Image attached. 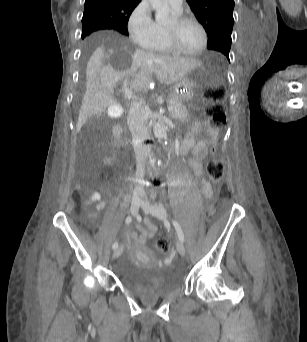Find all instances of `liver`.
<instances>
[{
    "instance_id": "liver-1",
    "label": "liver",
    "mask_w": 307,
    "mask_h": 342,
    "mask_svg": "<svg viewBox=\"0 0 307 342\" xmlns=\"http://www.w3.org/2000/svg\"><path fill=\"white\" fill-rule=\"evenodd\" d=\"M199 66L201 62L194 58L158 56L137 50L136 44H122L121 40L96 44L86 68V92L79 110L76 132H80L90 116H102L106 112L113 100L116 82L125 76H135L132 88L144 92L148 90L152 76H156L160 84L169 86Z\"/></svg>"
}]
</instances>
